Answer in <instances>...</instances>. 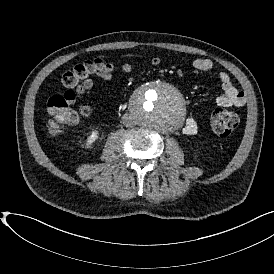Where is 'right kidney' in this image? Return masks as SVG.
<instances>
[{
    "label": "right kidney",
    "instance_id": "1",
    "mask_svg": "<svg viewBox=\"0 0 274 274\" xmlns=\"http://www.w3.org/2000/svg\"><path fill=\"white\" fill-rule=\"evenodd\" d=\"M101 137V132L98 130V128H92L88 135L86 136V139L83 141V147L84 149H92L93 146L97 143V141Z\"/></svg>",
    "mask_w": 274,
    "mask_h": 274
}]
</instances>
